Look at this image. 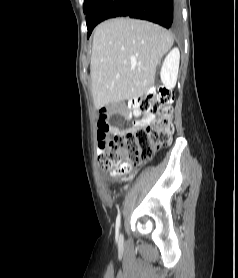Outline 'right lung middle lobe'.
Instances as JSON below:
<instances>
[{
    "mask_svg": "<svg viewBox=\"0 0 238 278\" xmlns=\"http://www.w3.org/2000/svg\"><path fill=\"white\" fill-rule=\"evenodd\" d=\"M96 0H84L83 11L86 14L89 8L94 4Z\"/></svg>",
    "mask_w": 238,
    "mask_h": 278,
    "instance_id": "right-lung-middle-lobe-1",
    "label": "right lung middle lobe"
}]
</instances>
